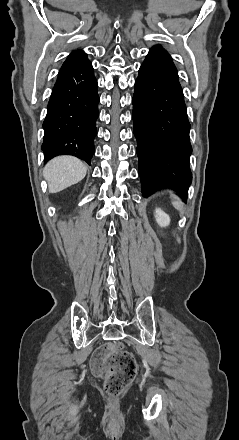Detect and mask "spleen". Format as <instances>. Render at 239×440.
Instances as JSON below:
<instances>
[{"label":"spleen","mask_w":239,"mask_h":440,"mask_svg":"<svg viewBox=\"0 0 239 440\" xmlns=\"http://www.w3.org/2000/svg\"><path fill=\"white\" fill-rule=\"evenodd\" d=\"M172 194V192H171ZM173 196V200H172V204L174 206V208H176V210H183L184 206H183V202H181L180 198H178V196H175V194H172Z\"/></svg>","instance_id":"1"}]
</instances>
